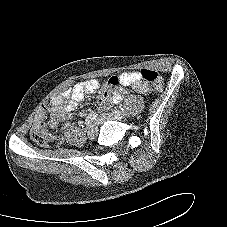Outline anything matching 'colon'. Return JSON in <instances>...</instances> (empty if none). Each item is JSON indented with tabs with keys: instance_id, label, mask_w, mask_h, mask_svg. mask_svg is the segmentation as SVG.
<instances>
[{
	"instance_id": "colon-1",
	"label": "colon",
	"mask_w": 227,
	"mask_h": 227,
	"mask_svg": "<svg viewBox=\"0 0 227 227\" xmlns=\"http://www.w3.org/2000/svg\"><path fill=\"white\" fill-rule=\"evenodd\" d=\"M141 78L146 81L154 91H161L164 88V78L162 75L151 69H144L141 71ZM120 83L118 76H111L107 80V86L112 87ZM50 104L46 103L44 109H49ZM32 139L39 145H46L49 141V133L46 126L41 123L37 125L31 133Z\"/></svg>"
}]
</instances>
